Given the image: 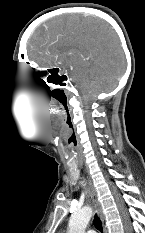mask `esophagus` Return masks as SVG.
Instances as JSON below:
<instances>
[{"label":"esophagus","instance_id":"34e87169","mask_svg":"<svg viewBox=\"0 0 145 233\" xmlns=\"http://www.w3.org/2000/svg\"><path fill=\"white\" fill-rule=\"evenodd\" d=\"M88 183H89L91 196H92V200H93L94 206L96 208V211H97L98 215L100 216V218L103 220L102 206H101V203L98 199V194H97L96 190L94 189V187L92 186V183L90 180H88ZM103 233H107V229L105 227L103 229Z\"/></svg>","mask_w":145,"mask_h":233}]
</instances>
